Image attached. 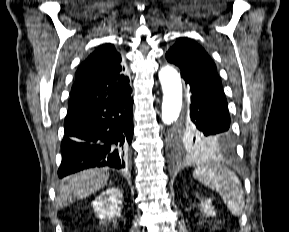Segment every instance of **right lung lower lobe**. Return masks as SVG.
Returning <instances> with one entry per match:
<instances>
[{
    "mask_svg": "<svg viewBox=\"0 0 289 232\" xmlns=\"http://www.w3.org/2000/svg\"><path fill=\"white\" fill-rule=\"evenodd\" d=\"M124 95L69 109L60 178L90 167L124 168L133 138V98Z\"/></svg>",
    "mask_w": 289,
    "mask_h": 232,
    "instance_id": "obj_1",
    "label": "right lung lower lobe"
}]
</instances>
